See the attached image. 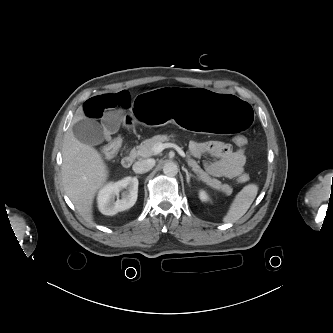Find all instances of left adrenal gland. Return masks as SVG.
<instances>
[{
	"mask_svg": "<svg viewBox=\"0 0 333 333\" xmlns=\"http://www.w3.org/2000/svg\"><path fill=\"white\" fill-rule=\"evenodd\" d=\"M182 169L186 173V181H187L188 185L190 184V178H194L196 180H199L196 176H194L193 174L189 173L186 168L183 167Z\"/></svg>",
	"mask_w": 333,
	"mask_h": 333,
	"instance_id": "obj_1",
	"label": "left adrenal gland"
}]
</instances>
